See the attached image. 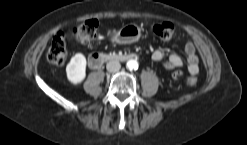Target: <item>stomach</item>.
I'll list each match as a JSON object with an SVG mask.
<instances>
[{
  "label": "stomach",
  "mask_w": 247,
  "mask_h": 145,
  "mask_svg": "<svg viewBox=\"0 0 247 145\" xmlns=\"http://www.w3.org/2000/svg\"><path fill=\"white\" fill-rule=\"evenodd\" d=\"M141 37V29L135 24L125 25L112 37V41L118 44H131Z\"/></svg>",
  "instance_id": "obj_1"
}]
</instances>
